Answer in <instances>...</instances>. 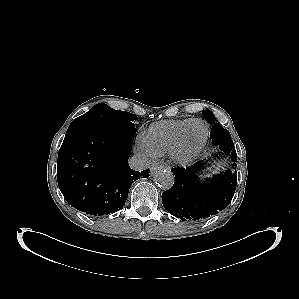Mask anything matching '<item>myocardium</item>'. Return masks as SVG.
Segmentation results:
<instances>
[{
	"label": "myocardium",
	"mask_w": 299,
	"mask_h": 299,
	"mask_svg": "<svg viewBox=\"0 0 299 299\" xmlns=\"http://www.w3.org/2000/svg\"><path fill=\"white\" fill-rule=\"evenodd\" d=\"M201 123L204 126L205 134L201 144L191 153L185 154L182 152L183 140L185 133L188 127L193 123ZM209 137V129L207 124L201 119H190L179 131L178 135L176 136L173 144L171 145L170 149L168 150L169 158L176 164L186 166L196 160L199 155L204 150Z\"/></svg>",
	"instance_id": "obj_1"
}]
</instances>
